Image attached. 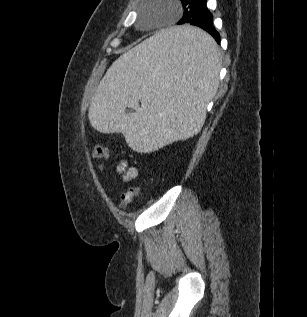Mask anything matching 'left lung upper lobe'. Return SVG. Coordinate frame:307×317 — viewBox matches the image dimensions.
Returning <instances> with one entry per match:
<instances>
[{
  "label": "left lung upper lobe",
  "mask_w": 307,
  "mask_h": 317,
  "mask_svg": "<svg viewBox=\"0 0 307 317\" xmlns=\"http://www.w3.org/2000/svg\"><path fill=\"white\" fill-rule=\"evenodd\" d=\"M182 2L183 6V17L178 22V24H181L184 22V20L190 18L197 8V6L200 4L202 0H180Z\"/></svg>",
  "instance_id": "5c2ea615"
}]
</instances>
